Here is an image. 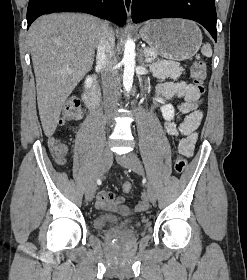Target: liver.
<instances>
[{"label":"liver","instance_id":"liver-1","mask_svg":"<svg viewBox=\"0 0 247 280\" xmlns=\"http://www.w3.org/2000/svg\"><path fill=\"white\" fill-rule=\"evenodd\" d=\"M102 24L91 15L54 13L29 28L37 103L47 137L55 132L67 98L92 68Z\"/></svg>","mask_w":247,"mask_h":280}]
</instances>
